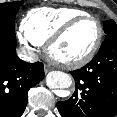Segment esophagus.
Listing matches in <instances>:
<instances>
[{
    "mask_svg": "<svg viewBox=\"0 0 117 117\" xmlns=\"http://www.w3.org/2000/svg\"><path fill=\"white\" fill-rule=\"evenodd\" d=\"M51 70H52V68L50 66L45 65V68H44L45 73H48Z\"/></svg>",
    "mask_w": 117,
    "mask_h": 117,
    "instance_id": "obj_1",
    "label": "esophagus"
}]
</instances>
